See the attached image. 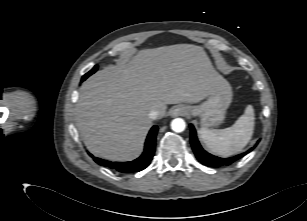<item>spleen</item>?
Segmentation results:
<instances>
[{"label": "spleen", "mask_w": 307, "mask_h": 221, "mask_svg": "<svg viewBox=\"0 0 307 221\" xmlns=\"http://www.w3.org/2000/svg\"><path fill=\"white\" fill-rule=\"evenodd\" d=\"M255 124V114L252 105H248L245 112L236 122L225 129L199 130L200 137L209 151L219 156L237 154L252 138Z\"/></svg>", "instance_id": "3e777b00"}]
</instances>
